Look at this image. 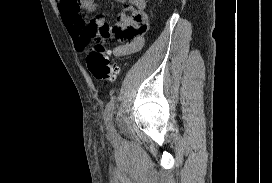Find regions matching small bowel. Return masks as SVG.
I'll return each instance as SVG.
<instances>
[{
  "instance_id": "small-bowel-1",
  "label": "small bowel",
  "mask_w": 272,
  "mask_h": 183,
  "mask_svg": "<svg viewBox=\"0 0 272 183\" xmlns=\"http://www.w3.org/2000/svg\"><path fill=\"white\" fill-rule=\"evenodd\" d=\"M115 1L123 4L124 9L113 24L109 25L102 16L87 18L85 13L97 8L95 0H57L63 23L77 51H85L91 42L98 39H115V43H125L113 49L114 55L118 57L142 49L144 34L148 28L146 0ZM127 39H130L128 43Z\"/></svg>"
}]
</instances>
